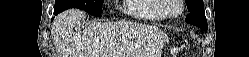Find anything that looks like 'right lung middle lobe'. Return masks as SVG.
<instances>
[{"label": "right lung middle lobe", "mask_w": 249, "mask_h": 57, "mask_svg": "<svg viewBox=\"0 0 249 57\" xmlns=\"http://www.w3.org/2000/svg\"><path fill=\"white\" fill-rule=\"evenodd\" d=\"M104 0H56L55 10L64 11L69 8H79L87 13L100 16Z\"/></svg>", "instance_id": "dd1d6c3e"}]
</instances>
